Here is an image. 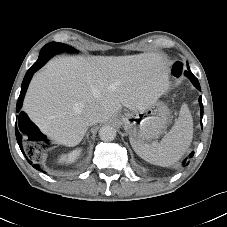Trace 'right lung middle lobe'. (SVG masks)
Masks as SVG:
<instances>
[{
    "mask_svg": "<svg viewBox=\"0 0 227 227\" xmlns=\"http://www.w3.org/2000/svg\"><path fill=\"white\" fill-rule=\"evenodd\" d=\"M42 49L51 50V51H54L56 53H58L60 51H71V52L75 51L74 48H72L70 46H67V45H65L63 43H57V42L48 43Z\"/></svg>",
    "mask_w": 227,
    "mask_h": 227,
    "instance_id": "dd1d6c3e",
    "label": "right lung middle lobe"
}]
</instances>
